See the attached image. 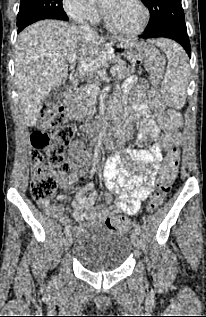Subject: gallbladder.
I'll return each mask as SVG.
<instances>
[{"label": "gallbladder", "instance_id": "gallbladder-1", "mask_svg": "<svg viewBox=\"0 0 206 317\" xmlns=\"http://www.w3.org/2000/svg\"><path fill=\"white\" fill-rule=\"evenodd\" d=\"M65 90L66 85H61L51 90L46 97V103L52 108L62 105L65 101Z\"/></svg>", "mask_w": 206, "mask_h": 317}]
</instances>
